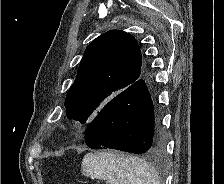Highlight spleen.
<instances>
[{
  "label": "spleen",
  "mask_w": 224,
  "mask_h": 184,
  "mask_svg": "<svg viewBox=\"0 0 224 184\" xmlns=\"http://www.w3.org/2000/svg\"><path fill=\"white\" fill-rule=\"evenodd\" d=\"M81 171L109 184H160L157 172L145 160L118 152L86 154Z\"/></svg>",
  "instance_id": "obj_1"
}]
</instances>
